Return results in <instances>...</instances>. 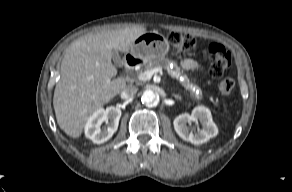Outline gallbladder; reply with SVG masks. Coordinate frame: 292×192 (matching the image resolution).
<instances>
[{
    "mask_svg": "<svg viewBox=\"0 0 292 192\" xmlns=\"http://www.w3.org/2000/svg\"><path fill=\"white\" fill-rule=\"evenodd\" d=\"M112 59L116 64L122 63L121 57H120L118 51H116V50L112 51Z\"/></svg>",
    "mask_w": 292,
    "mask_h": 192,
    "instance_id": "gallbladder-1",
    "label": "gallbladder"
}]
</instances>
